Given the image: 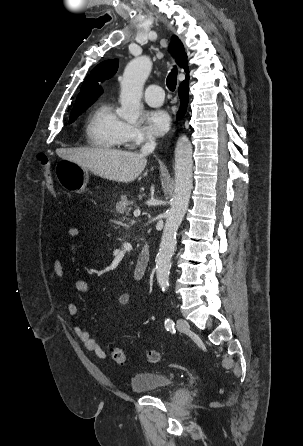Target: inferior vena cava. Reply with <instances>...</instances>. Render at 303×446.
<instances>
[{
	"mask_svg": "<svg viewBox=\"0 0 303 446\" xmlns=\"http://www.w3.org/2000/svg\"><path fill=\"white\" fill-rule=\"evenodd\" d=\"M155 147H156L155 139L153 137H149L148 141L141 148V154L142 155L150 154L154 151Z\"/></svg>",
	"mask_w": 303,
	"mask_h": 446,
	"instance_id": "1",
	"label": "inferior vena cava"
}]
</instances>
